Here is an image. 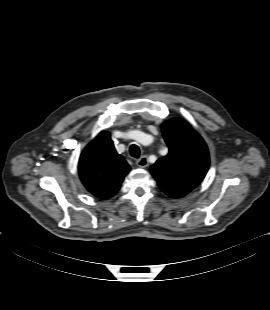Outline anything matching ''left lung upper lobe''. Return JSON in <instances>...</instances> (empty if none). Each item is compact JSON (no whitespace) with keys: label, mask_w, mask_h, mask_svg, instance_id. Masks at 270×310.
<instances>
[{"label":"left lung upper lobe","mask_w":270,"mask_h":310,"mask_svg":"<svg viewBox=\"0 0 270 310\" xmlns=\"http://www.w3.org/2000/svg\"><path fill=\"white\" fill-rule=\"evenodd\" d=\"M169 153L150 168L159 187L164 190H193L209 168V152L202 137L181 118L162 124Z\"/></svg>","instance_id":"obj_1"}]
</instances>
